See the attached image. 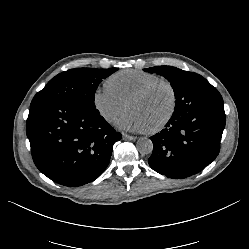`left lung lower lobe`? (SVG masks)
Instances as JSON below:
<instances>
[{
  "label": "left lung lower lobe",
  "instance_id": "obj_1",
  "mask_svg": "<svg viewBox=\"0 0 249 249\" xmlns=\"http://www.w3.org/2000/svg\"><path fill=\"white\" fill-rule=\"evenodd\" d=\"M224 127V106L171 117L166 128L151 137L154 147L148 159L150 167L174 179L200 172L217 157Z\"/></svg>",
  "mask_w": 249,
  "mask_h": 249
}]
</instances>
